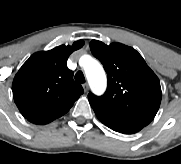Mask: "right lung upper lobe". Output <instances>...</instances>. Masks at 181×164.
<instances>
[{"label": "right lung upper lobe", "mask_w": 181, "mask_h": 164, "mask_svg": "<svg viewBox=\"0 0 181 164\" xmlns=\"http://www.w3.org/2000/svg\"><path fill=\"white\" fill-rule=\"evenodd\" d=\"M84 45H61L49 51L34 53L17 72L13 98L21 114L34 124H47L65 113L83 94L82 86L73 80L66 62L69 55Z\"/></svg>", "instance_id": "cb5924a9"}]
</instances>
